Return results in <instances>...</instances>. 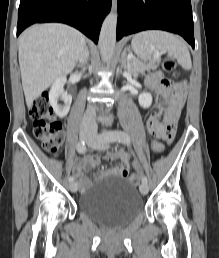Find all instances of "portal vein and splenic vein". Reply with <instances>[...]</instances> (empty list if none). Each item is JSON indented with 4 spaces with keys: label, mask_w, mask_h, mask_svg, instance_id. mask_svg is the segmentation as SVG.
Here are the masks:
<instances>
[{
    "label": "portal vein and splenic vein",
    "mask_w": 219,
    "mask_h": 258,
    "mask_svg": "<svg viewBox=\"0 0 219 258\" xmlns=\"http://www.w3.org/2000/svg\"><path fill=\"white\" fill-rule=\"evenodd\" d=\"M158 57H160V53H156V54L154 55V58H158Z\"/></svg>",
    "instance_id": "1"
}]
</instances>
